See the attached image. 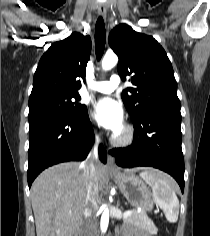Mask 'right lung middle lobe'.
<instances>
[{
    "instance_id": "dd1d6c3e",
    "label": "right lung middle lobe",
    "mask_w": 210,
    "mask_h": 236,
    "mask_svg": "<svg viewBox=\"0 0 210 236\" xmlns=\"http://www.w3.org/2000/svg\"><path fill=\"white\" fill-rule=\"evenodd\" d=\"M78 94L49 92L29 101V121L49 116L61 115L83 118L88 115L87 107L80 104Z\"/></svg>"
}]
</instances>
